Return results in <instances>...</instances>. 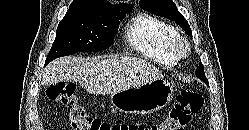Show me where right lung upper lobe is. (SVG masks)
I'll return each instance as SVG.
<instances>
[{
  "label": "right lung upper lobe",
  "mask_w": 249,
  "mask_h": 130,
  "mask_svg": "<svg viewBox=\"0 0 249 130\" xmlns=\"http://www.w3.org/2000/svg\"><path fill=\"white\" fill-rule=\"evenodd\" d=\"M108 1L106 0H74L69 10L72 11H84V12H92L101 9L104 6H110ZM119 5H128L125 3H120Z\"/></svg>",
  "instance_id": "1"
}]
</instances>
